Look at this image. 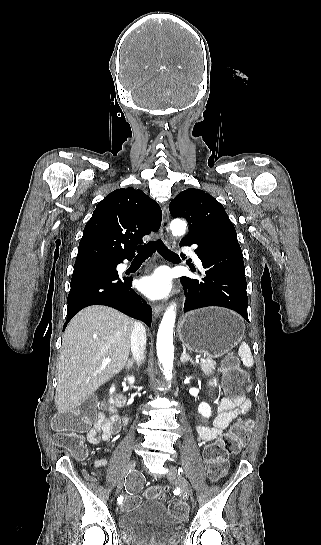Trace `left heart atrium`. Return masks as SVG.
Returning <instances> with one entry per match:
<instances>
[{"mask_svg": "<svg viewBox=\"0 0 321 545\" xmlns=\"http://www.w3.org/2000/svg\"><path fill=\"white\" fill-rule=\"evenodd\" d=\"M140 290L151 298H164L172 288L171 276L166 270H159L140 280Z\"/></svg>", "mask_w": 321, "mask_h": 545, "instance_id": "1", "label": "left heart atrium"}]
</instances>
